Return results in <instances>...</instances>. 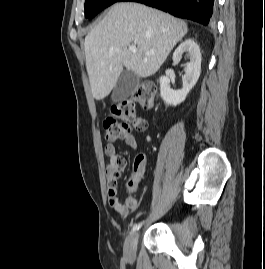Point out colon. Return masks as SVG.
Returning a JSON list of instances; mask_svg holds the SVG:
<instances>
[{
    "mask_svg": "<svg viewBox=\"0 0 265 269\" xmlns=\"http://www.w3.org/2000/svg\"><path fill=\"white\" fill-rule=\"evenodd\" d=\"M155 95V84L143 82L131 97L114 104L111 114L103 121L104 139L107 142H114L129 134L132 128H140L142 124L137 117V107L145 110L153 109Z\"/></svg>",
    "mask_w": 265,
    "mask_h": 269,
    "instance_id": "colon-1",
    "label": "colon"
}]
</instances>
